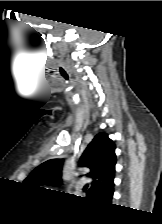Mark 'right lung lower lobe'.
Instances as JSON below:
<instances>
[{
  "mask_svg": "<svg viewBox=\"0 0 162 224\" xmlns=\"http://www.w3.org/2000/svg\"><path fill=\"white\" fill-rule=\"evenodd\" d=\"M112 196H113V194H112L110 197L105 198V200H106L107 202H110V201H111V199H112Z\"/></svg>",
  "mask_w": 162,
  "mask_h": 224,
  "instance_id": "right-lung-lower-lobe-1",
  "label": "right lung lower lobe"
}]
</instances>
